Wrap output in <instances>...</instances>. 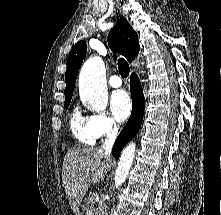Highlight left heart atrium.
Wrapping results in <instances>:
<instances>
[{
    "label": "left heart atrium",
    "mask_w": 221,
    "mask_h": 215,
    "mask_svg": "<svg viewBox=\"0 0 221 215\" xmlns=\"http://www.w3.org/2000/svg\"><path fill=\"white\" fill-rule=\"evenodd\" d=\"M110 109L118 122L125 121L129 117L132 109L128 93L124 90L113 92L110 99Z\"/></svg>",
    "instance_id": "obj_1"
}]
</instances>
